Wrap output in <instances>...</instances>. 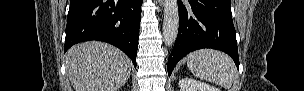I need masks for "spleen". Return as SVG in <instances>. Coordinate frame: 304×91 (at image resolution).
<instances>
[{"instance_id": "spleen-1", "label": "spleen", "mask_w": 304, "mask_h": 91, "mask_svg": "<svg viewBox=\"0 0 304 91\" xmlns=\"http://www.w3.org/2000/svg\"><path fill=\"white\" fill-rule=\"evenodd\" d=\"M187 66L197 78L230 88L235 78V65L223 52L202 49L187 56Z\"/></svg>"}]
</instances>
